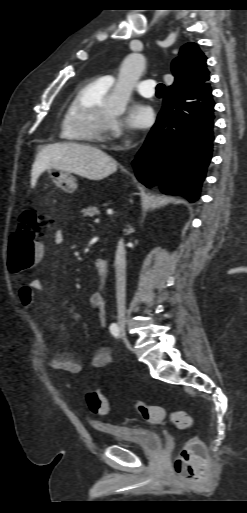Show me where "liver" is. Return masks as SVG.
Segmentation results:
<instances>
[{
    "label": "liver",
    "instance_id": "1",
    "mask_svg": "<svg viewBox=\"0 0 247 513\" xmlns=\"http://www.w3.org/2000/svg\"><path fill=\"white\" fill-rule=\"evenodd\" d=\"M57 168L89 180H102L117 170V163L98 148L76 143L50 144L37 154L31 172V186L46 169Z\"/></svg>",
    "mask_w": 247,
    "mask_h": 513
}]
</instances>
